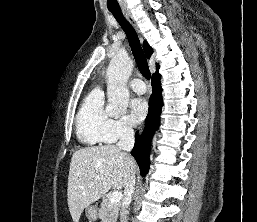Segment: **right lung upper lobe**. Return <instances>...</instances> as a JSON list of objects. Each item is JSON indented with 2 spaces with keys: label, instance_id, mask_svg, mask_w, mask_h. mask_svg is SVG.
<instances>
[{
  "label": "right lung upper lobe",
  "instance_id": "1",
  "mask_svg": "<svg viewBox=\"0 0 257 222\" xmlns=\"http://www.w3.org/2000/svg\"><path fill=\"white\" fill-rule=\"evenodd\" d=\"M143 48L147 58H150L153 53V50L146 41H144ZM157 69H158V65H157ZM155 73H158V72H155Z\"/></svg>",
  "mask_w": 257,
  "mask_h": 222
}]
</instances>
